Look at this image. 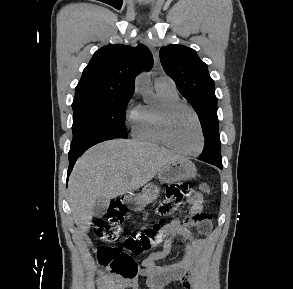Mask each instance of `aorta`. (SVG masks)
Here are the masks:
<instances>
[{
    "mask_svg": "<svg viewBox=\"0 0 293 289\" xmlns=\"http://www.w3.org/2000/svg\"><path fill=\"white\" fill-rule=\"evenodd\" d=\"M135 85L138 90L146 93L147 95H150L151 80L148 73L146 72L140 73L136 78Z\"/></svg>",
    "mask_w": 293,
    "mask_h": 289,
    "instance_id": "obj_1",
    "label": "aorta"
}]
</instances>
